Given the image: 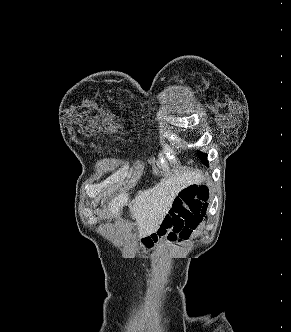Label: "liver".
Instances as JSON below:
<instances>
[{
	"mask_svg": "<svg viewBox=\"0 0 291 332\" xmlns=\"http://www.w3.org/2000/svg\"><path fill=\"white\" fill-rule=\"evenodd\" d=\"M203 179L197 170L176 171L153 188L139 191L132 201L125 192L119 194L109 203V215L116 216L120 208L128 205L139 234L149 235L160 226L179 192L192 184H200Z\"/></svg>",
	"mask_w": 291,
	"mask_h": 332,
	"instance_id": "liver-1",
	"label": "liver"
}]
</instances>
